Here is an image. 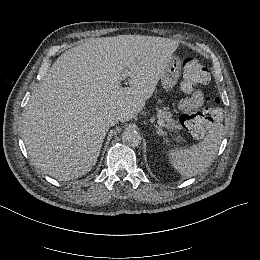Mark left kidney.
<instances>
[{
	"label": "left kidney",
	"mask_w": 260,
	"mask_h": 260,
	"mask_svg": "<svg viewBox=\"0 0 260 260\" xmlns=\"http://www.w3.org/2000/svg\"><path fill=\"white\" fill-rule=\"evenodd\" d=\"M164 143L168 145L170 141L167 138H164Z\"/></svg>",
	"instance_id": "left-kidney-1"
}]
</instances>
